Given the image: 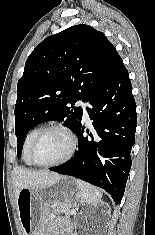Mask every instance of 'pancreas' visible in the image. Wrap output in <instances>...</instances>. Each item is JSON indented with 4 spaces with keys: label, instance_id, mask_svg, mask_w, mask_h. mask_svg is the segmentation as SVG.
<instances>
[{
    "label": "pancreas",
    "instance_id": "1",
    "mask_svg": "<svg viewBox=\"0 0 155 235\" xmlns=\"http://www.w3.org/2000/svg\"><path fill=\"white\" fill-rule=\"evenodd\" d=\"M58 212L64 213L65 215H69L70 214V210L66 209V208H57Z\"/></svg>",
    "mask_w": 155,
    "mask_h": 235
}]
</instances>
